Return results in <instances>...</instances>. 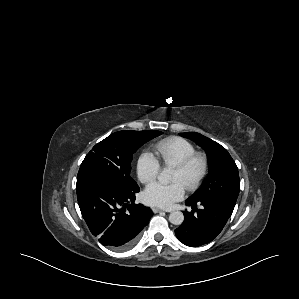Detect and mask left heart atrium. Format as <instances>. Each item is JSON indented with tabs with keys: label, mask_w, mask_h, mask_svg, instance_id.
I'll use <instances>...</instances> for the list:
<instances>
[{
	"label": "left heart atrium",
	"mask_w": 299,
	"mask_h": 299,
	"mask_svg": "<svg viewBox=\"0 0 299 299\" xmlns=\"http://www.w3.org/2000/svg\"><path fill=\"white\" fill-rule=\"evenodd\" d=\"M184 194L185 186L179 181L171 184L153 182L146 187L143 199L149 205L170 208L175 202L181 200Z\"/></svg>",
	"instance_id": "1"
}]
</instances>
